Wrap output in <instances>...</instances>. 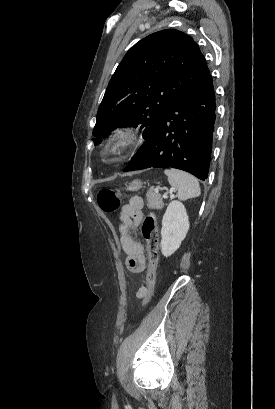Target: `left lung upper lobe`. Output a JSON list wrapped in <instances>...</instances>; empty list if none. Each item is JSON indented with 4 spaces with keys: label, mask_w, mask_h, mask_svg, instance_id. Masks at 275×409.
Returning a JSON list of instances; mask_svg holds the SVG:
<instances>
[{
    "label": "left lung upper lobe",
    "mask_w": 275,
    "mask_h": 409,
    "mask_svg": "<svg viewBox=\"0 0 275 409\" xmlns=\"http://www.w3.org/2000/svg\"><path fill=\"white\" fill-rule=\"evenodd\" d=\"M210 73L198 45L166 29L137 42L112 76L97 112L95 145L118 127H145L147 139L168 109Z\"/></svg>",
    "instance_id": "1"
}]
</instances>
